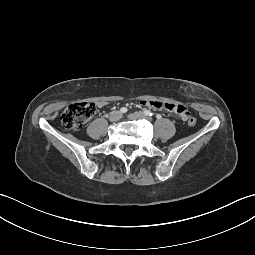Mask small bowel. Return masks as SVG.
Here are the masks:
<instances>
[{
  "mask_svg": "<svg viewBox=\"0 0 255 255\" xmlns=\"http://www.w3.org/2000/svg\"><path fill=\"white\" fill-rule=\"evenodd\" d=\"M141 104L162 112L173 113L174 119H176L177 123L179 124L186 123V121L191 117V110L183 105L163 103L154 100H144L141 102ZM104 105L105 102L98 103L99 107H103Z\"/></svg>",
  "mask_w": 255,
  "mask_h": 255,
  "instance_id": "1",
  "label": "small bowel"
}]
</instances>
